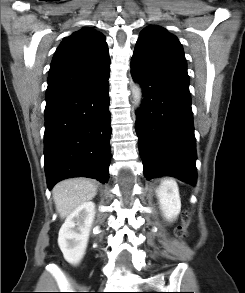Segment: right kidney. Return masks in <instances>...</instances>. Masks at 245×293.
<instances>
[{
	"label": "right kidney",
	"instance_id": "obj_1",
	"mask_svg": "<svg viewBox=\"0 0 245 293\" xmlns=\"http://www.w3.org/2000/svg\"><path fill=\"white\" fill-rule=\"evenodd\" d=\"M94 217L95 204L88 201L71 212L60 228L58 245L70 264L76 265L83 258Z\"/></svg>",
	"mask_w": 245,
	"mask_h": 293
}]
</instances>
